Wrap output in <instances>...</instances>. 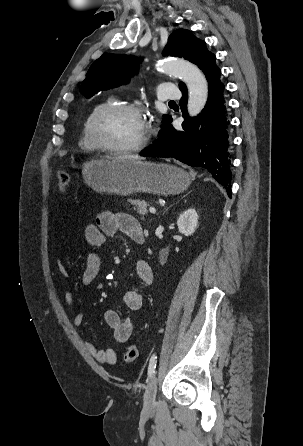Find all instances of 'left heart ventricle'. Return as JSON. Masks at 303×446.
Wrapping results in <instances>:
<instances>
[{
    "instance_id": "1",
    "label": "left heart ventricle",
    "mask_w": 303,
    "mask_h": 446,
    "mask_svg": "<svg viewBox=\"0 0 303 446\" xmlns=\"http://www.w3.org/2000/svg\"><path fill=\"white\" fill-rule=\"evenodd\" d=\"M146 131L143 117L131 112L117 111L106 114L100 121L98 132L107 144L123 147L139 141Z\"/></svg>"
}]
</instances>
